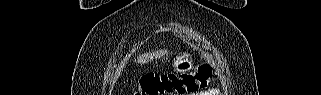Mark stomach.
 Returning a JSON list of instances; mask_svg holds the SVG:
<instances>
[{
	"label": "stomach",
	"mask_w": 321,
	"mask_h": 95,
	"mask_svg": "<svg viewBox=\"0 0 321 95\" xmlns=\"http://www.w3.org/2000/svg\"><path fill=\"white\" fill-rule=\"evenodd\" d=\"M173 68L176 73H188L194 69V63L188 52L179 53L173 59Z\"/></svg>",
	"instance_id": "0dacf381"
}]
</instances>
